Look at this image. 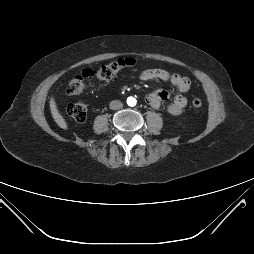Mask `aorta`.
<instances>
[{"instance_id":"762f6f07","label":"aorta","mask_w":254,"mask_h":254,"mask_svg":"<svg viewBox=\"0 0 254 254\" xmlns=\"http://www.w3.org/2000/svg\"><path fill=\"white\" fill-rule=\"evenodd\" d=\"M127 104L129 106H135L136 105V99L134 97H128L127 98Z\"/></svg>"}]
</instances>
